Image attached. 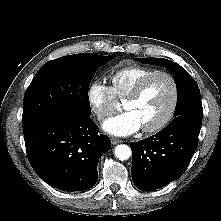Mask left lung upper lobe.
<instances>
[{
	"mask_svg": "<svg viewBox=\"0 0 221 221\" xmlns=\"http://www.w3.org/2000/svg\"><path fill=\"white\" fill-rule=\"evenodd\" d=\"M137 60L142 63L163 65L174 74L178 90V102L174 113L175 118L169 125L191 121L202 122L203 109L200 89L184 68L164 58H137Z\"/></svg>",
	"mask_w": 221,
	"mask_h": 221,
	"instance_id": "obj_1",
	"label": "left lung upper lobe"
}]
</instances>
